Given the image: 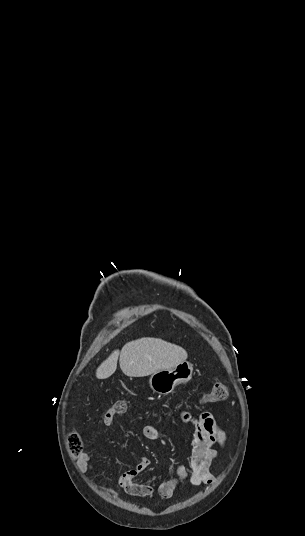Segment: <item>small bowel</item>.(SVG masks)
Segmentation results:
<instances>
[{
    "label": "small bowel",
    "instance_id": "obj_1",
    "mask_svg": "<svg viewBox=\"0 0 305 536\" xmlns=\"http://www.w3.org/2000/svg\"><path fill=\"white\" fill-rule=\"evenodd\" d=\"M109 414H112V411H109ZM106 418L103 425L108 427L113 419L109 415H106ZM181 418L193 426L190 467L187 468L182 464L176 465V477L163 482L158 488V493L163 499H171L176 490L183 489L187 482L194 486L211 483L213 476L210 467L217 456L215 446L224 447L226 443L225 432L209 411H202L197 416L182 412ZM143 435L149 440H160L165 444L162 431L156 426L146 425L143 428ZM150 465L151 459L149 457H141L133 468L117 477L115 483L131 496L147 497L153 495L155 493L154 486L136 481ZM80 466L82 471L90 473L91 476L101 477V474L93 466L89 452L84 451L80 454ZM97 488L109 495L118 496V492L111 487L98 485Z\"/></svg>",
    "mask_w": 305,
    "mask_h": 536
}]
</instances>
